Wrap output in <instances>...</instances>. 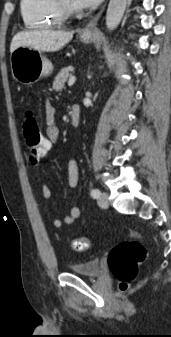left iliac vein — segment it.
Masks as SVG:
<instances>
[{"label": "left iliac vein", "mask_w": 171, "mask_h": 337, "mask_svg": "<svg viewBox=\"0 0 171 337\" xmlns=\"http://www.w3.org/2000/svg\"><path fill=\"white\" fill-rule=\"evenodd\" d=\"M108 197H109V194L107 192H102L99 199H98V205L101 207V208H107L108 205H109V202H108Z\"/></svg>", "instance_id": "obj_1"}]
</instances>
